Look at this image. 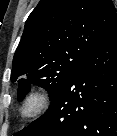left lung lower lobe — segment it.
Masks as SVG:
<instances>
[{
	"label": "left lung lower lobe",
	"instance_id": "0a47b994",
	"mask_svg": "<svg viewBox=\"0 0 117 136\" xmlns=\"http://www.w3.org/2000/svg\"><path fill=\"white\" fill-rule=\"evenodd\" d=\"M17 136H117V25Z\"/></svg>",
	"mask_w": 117,
	"mask_h": 136
}]
</instances>
